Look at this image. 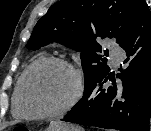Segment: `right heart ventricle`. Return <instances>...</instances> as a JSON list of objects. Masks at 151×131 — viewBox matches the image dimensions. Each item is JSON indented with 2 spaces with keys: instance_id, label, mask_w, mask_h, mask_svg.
<instances>
[{
  "instance_id": "obj_1",
  "label": "right heart ventricle",
  "mask_w": 151,
  "mask_h": 131,
  "mask_svg": "<svg viewBox=\"0 0 151 131\" xmlns=\"http://www.w3.org/2000/svg\"><path fill=\"white\" fill-rule=\"evenodd\" d=\"M22 76H23V74H22ZM22 76L19 78V80H18V82H17V84L15 86L13 95H12L11 111H12L13 116L16 117V118L21 117V115L19 114V112L17 110L16 98H17V94H18V91H19V86H20V82H21Z\"/></svg>"
}]
</instances>
